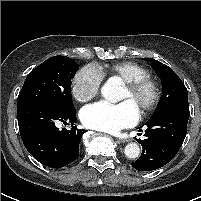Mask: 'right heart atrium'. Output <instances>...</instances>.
<instances>
[{
    "label": "right heart atrium",
    "instance_id": "right-heart-atrium-1",
    "mask_svg": "<svg viewBox=\"0 0 201 201\" xmlns=\"http://www.w3.org/2000/svg\"><path fill=\"white\" fill-rule=\"evenodd\" d=\"M102 75L94 66L81 68L72 80V95L78 102H87L99 93Z\"/></svg>",
    "mask_w": 201,
    "mask_h": 201
}]
</instances>
